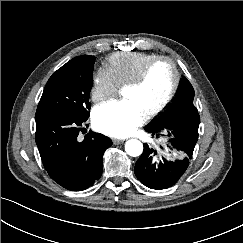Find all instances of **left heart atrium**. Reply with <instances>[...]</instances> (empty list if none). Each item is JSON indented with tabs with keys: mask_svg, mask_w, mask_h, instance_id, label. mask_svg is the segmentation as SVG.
Here are the masks:
<instances>
[{
	"mask_svg": "<svg viewBox=\"0 0 243 243\" xmlns=\"http://www.w3.org/2000/svg\"><path fill=\"white\" fill-rule=\"evenodd\" d=\"M95 128L112 137H126L139 127L145 115L131 101H111L93 111Z\"/></svg>",
	"mask_w": 243,
	"mask_h": 243,
	"instance_id": "obj_1",
	"label": "left heart atrium"
}]
</instances>
